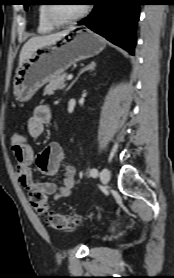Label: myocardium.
Listing matches in <instances>:
<instances>
[{"label": "myocardium", "mask_w": 174, "mask_h": 278, "mask_svg": "<svg viewBox=\"0 0 174 278\" xmlns=\"http://www.w3.org/2000/svg\"><path fill=\"white\" fill-rule=\"evenodd\" d=\"M55 10H56V5L49 4L46 6L45 13H46V17H47L48 21L52 25L59 27V26H65L68 24H72V23L82 19L83 17H85L89 11V6L88 5L83 6L82 10L78 14H76L75 16L70 17V18L58 17Z\"/></svg>", "instance_id": "myocardium-1"}]
</instances>
